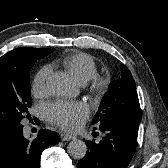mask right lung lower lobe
<instances>
[{"mask_svg": "<svg viewBox=\"0 0 168 168\" xmlns=\"http://www.w3.org/2000/svg\"><path fill=\"white\" fill-rule=\"evenodd\" d=\"M23 125H11L0 129V168H40L42 151L60 141V136L41 129L37 137L29 141L23 136Z\"/></svg>", "mask_w": 168, "mask_h": 168, "instance_id": "1", "label": "right lung lower lobe"}]
</instances>
